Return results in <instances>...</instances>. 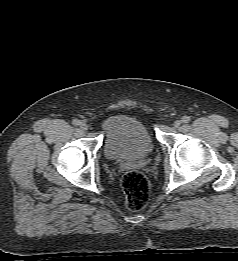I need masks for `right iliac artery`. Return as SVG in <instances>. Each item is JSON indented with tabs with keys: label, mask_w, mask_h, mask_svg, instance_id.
<instances>
[{
	"label": "right iliac artery",
	"mask_w": 238,
	"mask_h": 261,
	"mask_svg": "<svg viewBox=\"0 0 238 261\" xmlns=\"http://www.w3.org/2000/svg\"><path fill=\"white\" fill-rule=\"evenodd\" d=\"M72 124H73L74 126H79V125L81 124V122H80L78 119H74V120L72 121Z\"/></svg>",
	"instance_id": "1"
}]
</instances>
